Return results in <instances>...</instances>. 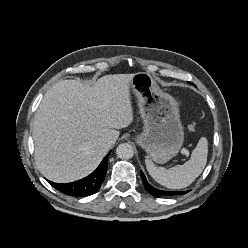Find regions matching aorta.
<instances>
[{
  "mask_svg": "<svg viewBox=\"0 0 248 248\" xmlns=\"http://www.w3.org/2000/svg\"><path fill=\"white\" fill-rule=\"evenodd\" d=\"M116 154L120 159H131L134 155V150L130 144L122 143L117 147Z\"/></svg>",
  "mask_w": 248,
  "mask_h": 248,
  "instance_id": "aorta-1",
  "label": "aorta"
}]
</instances>
